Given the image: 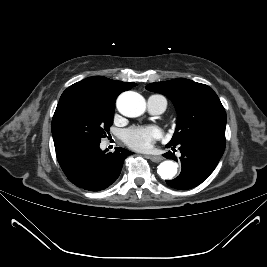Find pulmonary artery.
Returning <instances> with one entry per match:
<instances>
[{
  "label": "pulmonary artery",
  "instance_id": "obj_1",
  "mask_svg": "<svg viewBox=\"0 0 267 267\" xmlns=\"http://www.w3.org/2000/svg\"><path fill=\"white\" fill-rule=\"evenodd\" d=\"M147 107L152 114H161L166 110L167 100L162 95H152L147 99Z\"/></svg>",
  "mask_w": 267,
  "mask_h": 267
}]
</instances>
